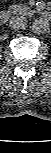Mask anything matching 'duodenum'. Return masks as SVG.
<instances>
[{
	"label": "duodenum",
	"mask_w": 51,
	"mask_h": 153,
	"mask_svg": "<svg viewBox=\"0 0 51 153\" xmlns=\"http://www.w3.org/2000/svg\"><path fill=\"white\" fill-rule=\"evenodd\" d=\"M9 16H10V12L7 11V10H2L0 12V23L1 24H5L8 19H9ZM40 16L45 19V20H50L51 19V14L49 11H43L40 13Z\"/></svg>",
	"instance_id": "duodenum-1"
}]
</instances>
